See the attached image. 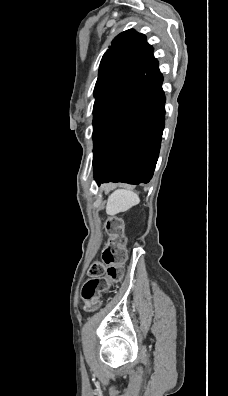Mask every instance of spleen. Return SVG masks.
Masks as SVG:
<instances>
[{"mask_svg":"<svg viewBox=\"0 0 228 396\" xmlns=\"http://www.w3.org/2000/svg\"><path fill=\"white\" fill-rule=\"evenodd\" d=\"M140 201L138 194L131 190L118 189L115 190L107 200L106 213L116 215L125 212L138 204Z\"/></svg>","mask_w":228,"mask_h":396,"instance_id":"spleen-1","label":"spleen"}]
</instances>
